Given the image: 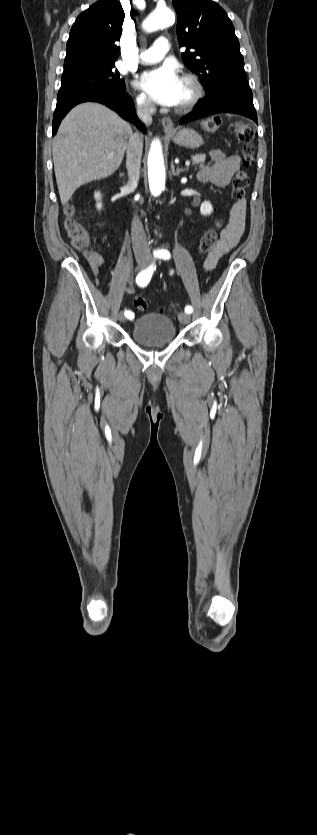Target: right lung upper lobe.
Instances as JSON below:
<instances>
[{
	"mask_svg": "<svg viewBox=\"0 0 317 835\" xmlns=\"http://www.w3.org/2000/svg\"><path fill=\"white\" fill-rule=\"evenodd\" d=\"M124 17L117 0H100L81 13L69 34L65 62L114 63L119 55L115 42L121 36Z\"/></svg>",
	"mask_w": 317,
	"mask_h": 835,
	"instance_id": "obj_1",
	"label": "right lung upper lobe"
}]
</instances>
